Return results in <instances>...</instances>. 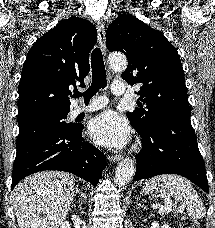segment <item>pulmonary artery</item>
<instances>
[{"mask_svg":"<svg viewBox=\"0 0 215 228\" xmlns=\"http://www.w3.org/2000/svg\"><path fill=\"white\" fill-rule=\"evenodd\" d=\"M124 89H127L126 82H113V84H111V91L116 95H122L124 93ZM130 93H133V90H131ZM82 101V96L75 101L70 112L72 117H76L82 113L102 109L107 105V100L102 96L94 97L88 105H80V102Z\"/></svg>","mask_w":215,"mask_h":228,"instance_id":"obj_1","label":"pulmonary artery"}]
</instances>
